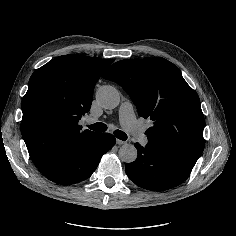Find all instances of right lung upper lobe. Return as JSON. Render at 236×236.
Listing matches in <instances>:
<instances>
[{"label":"right lung upper lobe","mask_w":236,"mask_h":236,"mask_svg":"<svg viewBox=\"0 0 236 236\" xmlns=\"http://www.w3.org/2000/svg\"><path fill=\"white\" fill-rule=\"evenodd\" d=\"M113 61L65 55L32 74L22 100L21 132L32 161L43 174L69 146L94 133L82 131L78 122L90 110L95 84Z\"/></svg>","instance_id":"cb5924a9"}]
</instances>
